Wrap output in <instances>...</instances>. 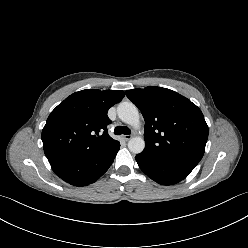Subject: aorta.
<instances>
[{"label": "aorta", "mask_w": 248, "mask_h": 248, "mask_svg": "<svg viewBox=\"0 0 248 248\" xmlns=\"http://www.w3.org/2000/svg\"><path fill=\"white\" fill-rule=\"evenodd\" d=\"M118 117L126 124L138 128L140 124V116L137 107L131 102H122L117 107ZM145 147L144 139L140 136L133 137L128 142L129 150L138 154Z\"/></svg>", "instance_id": "762f6f07"}]
</instances>
